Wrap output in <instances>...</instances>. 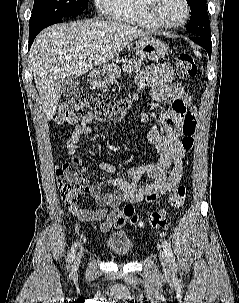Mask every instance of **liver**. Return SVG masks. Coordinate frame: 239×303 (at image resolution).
<instances>
[{
    "instance_id": "6515ba94",
    "label": "liver",
    "mask_w": 239,
    "mask_h": 303,
    "mask_svg": "<svg viewBox=\"0 0 239 303\" xmlns=\"http://www.w3.org/2000/svg\"><path fill=\"white\" fill-rule=\"evenodd\" d=\"M144 36L148 32L120 21H77L44 29L36 37L29 57L47 120L56 113L65 78L78 77L94 66L104 65L130 42Z\"/></svg>"
}]
</instances>
